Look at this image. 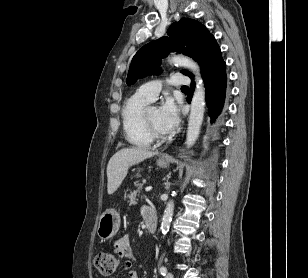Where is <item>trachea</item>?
Segmentation results:
<instances>
[{"label":"trachea","instance_id":"1","mask_svg":"<svg viewBox=\"0 0 308 278\" xmlns=\"http://www.w3.org/2000/svg\"><path fill=\"white\" fill-rule=\"evenodd\" d=\"M181 89L182 90H188V87L187 86H183Z\"/></svg>","mask_w":308,"mask_h":278}]
</instances>
